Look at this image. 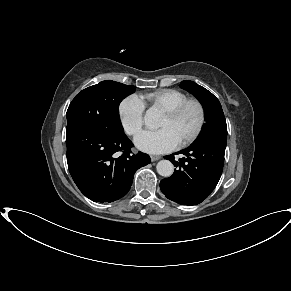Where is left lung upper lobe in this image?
<instances>
[{"label":"left lung upper lobe","mask_w":291,"mask_h":291,"mask_svg":"<svg viewBox=\"0 0 291 291\" xmlns=\"http://www.w3.org/2000/svg\"><path fill=\"white\" fill-rule=\"evenodd\" d=\"M180 87L193 94L203 105L205 123L196 141L203 139H227V125L219 100L207 89L193 81H182Z\"/></svg>","instance_id":"obj_1"}]
</instances>
